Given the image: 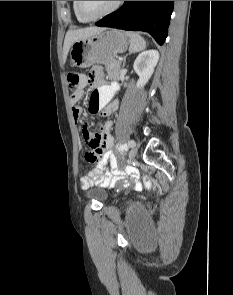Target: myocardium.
<instances>
[{
	"label": "myocardium",
	"mask_w": 233,
	"mask_h": 295,
	"mask_svg": "<svg viewBox=\"0 0 233 295\" xmlns=\"http://www.w3.org/2000/svg\"><path fill=\"white\" fill-rule=\"evenodd\" d=\"M122 2L123 1H116L110 9H108L107 11H105L99 15H95V16H90V15H87L86 13L83 12L82 7H81V1H76V10H77V13L83 19L88 20V21H94V20L106 17V16L114 13L115 11H117L119 9V7L121 6Z\"/></svg>",
	"instance_id": "f54148a6"
}]
</instances>
